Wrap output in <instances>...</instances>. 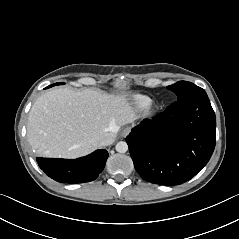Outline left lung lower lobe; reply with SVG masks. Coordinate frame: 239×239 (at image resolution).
<instances>
[{
  "mask_svg": "<svg viewBox=\"0 0 239 239\" xmlns=\"http://www.w3.org/2000/svg\"><path fill=\"white\" fill-rule=\"evenodd\" d=\"M216 117L205 91L144 119L126 137L134 167L148 182L178 185L194 177L215 148Z\"/></svg>",
  "mask_w": 239,
  "mask_h": 239,
  "instance_id": "obj_1",
  "label": "left lung lower lobe"
}]
</instances>
